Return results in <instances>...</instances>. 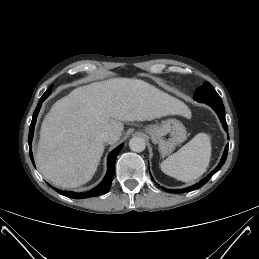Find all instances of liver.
<instances>
[{
    "mask_svg": "<svg viewBox=\"0 0 259 259\" xmlns=\"http://www.w3.org/2000/svg\"><path fill=\"white\" fill-rule=\"evenodd\" d=\"M167 115L188 117L180 100L149 83L112 78L78 87L54 103L45 116L35 155L38 170L56 187L76 188L90 181L103 155L102 132L116 143L123 122Z\"/></svg>",
    "mask_w": 259,
    "mask_h": 259,
    "instance_id": "6515ba94",
    "label": "liver"
}]
</instances>
